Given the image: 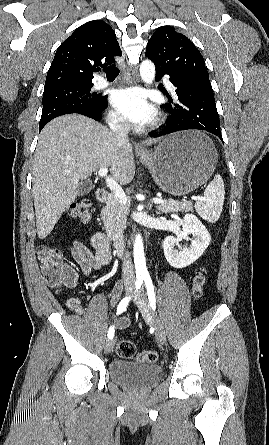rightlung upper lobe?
Listing matches in <instances>:
<instances>
[{
	"instance_id": "cb5924a9",
	"label": "right lung upper lobe",
	"mask_w": 269,
	"mask_h": 445,
	"mask_svg": "<svg viewBox=\"0 0 269 445\" xmlns=\"http://www.w3.org/2000/svg\"><path fill=\"white\" fill-rule=\"evenodd\" d=\"M122 52L107 23L93 20L77 28L57 49L48 70L45 89L92 83V72L115 62Z\"/></svg>"
}]
</instances>
